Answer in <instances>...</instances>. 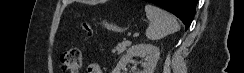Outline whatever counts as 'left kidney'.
Returning <instances> with one entry per match:
<instances>
[{
    "label": "left kidney",
    "mask_w": 244,
    "mask_h": 73,
    "mask_svg": "<svg viewBox=\"0 0 244 73\" xmlns=\"http://www.w3.org/2000/svg\"><path fill=\"white\" fill-rule=\"evenodd\" d=\"M135 56L145 57L143 63V70L137 73H154L155 67L160 57V50L158 47L151 44H137L133 45L127 50V53L121 57L112 73H121L126 64Z\"/></svg>",
    "instance_id": "1"
}]
</instances>
